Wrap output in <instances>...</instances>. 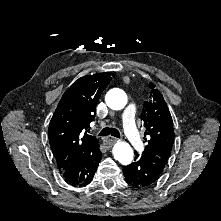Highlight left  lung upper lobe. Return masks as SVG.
Wrapping results in <instances>:
<instances>
[{
	"mask_svg": "<svg viewBox=\"0 0 221 221\" xmlns=\"http://www.w3.org/2000/svg\"><path fill=\"white\" fill-rule=\"evenodd\" d=\"M150 88L141 113L149 140L141 156L163 170L174 142L173 121L163 95L154 84L151 83Z\"/></svg>",
	"mask_w": 221,
	"mask_h": 221,
	"instance_id": "1",
	"label": "left lung upper lobe"
}]
</instances>
